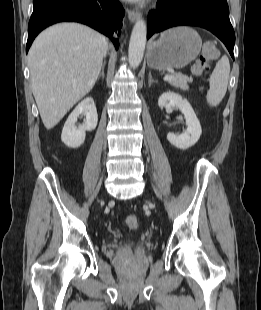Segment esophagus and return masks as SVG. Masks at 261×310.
<instances>
[{
  "mask_svg": "<svg viewBox=\"0 0 261 310\" xmlns=\"http://www.w3.org/2000/svg\"><path fill=\"white\" fill-rule=\"evenodd\" d=\"M140 17V13L135 10H128V18L129 20L134 23L136 20H138Z\"/></svg>",
  "mask_w": 261,
  "mask_h": 310,
  "instance_id": "esophagus-1",
  "label": "esophagus"
}]
</instances>
